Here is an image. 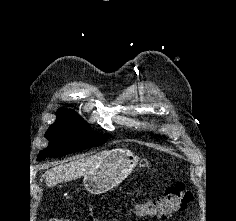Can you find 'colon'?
Returning <instances> with one entry per match:
<instances>
[{"label": "colon", "instance_id": "colon-1", "mask_svg": "<svg viewBox=\"0 0 236 221\" xmlns=\"http://www.w3.org/2000/svg\"><path fill=\"white\" fill-rule=\"evenodd\" d=\"M192 200V193L185 184L179 182L170 186L163 195L140 202L133 208V213L139 217H169L175 212L185 209ZM49 221H74L70 218L58 217Z\"/></svg>", "mask_w": 236, "mask_h": 221}]
</instances>
